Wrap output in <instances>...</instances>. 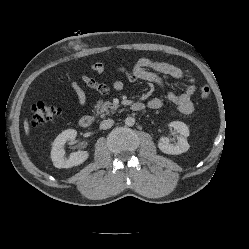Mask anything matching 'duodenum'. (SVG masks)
Returning <instances> with one entry per match:
<instances>
[{"label": "duodenum", "mask_w": 249, "mask_h": 249, "mask_svg": "<svg viewBox=\"0 0 249 249\" xmlns=\"http://www.w3.org/2000/svg\"><path fill=\"white\" fill-rule=\"evenodd\" d=\"M145 105L142 102H134L131 105L133 111H142ZM93 118L91 115H83L79 120V125L82 128H89L92 125Z\"/></svg>", "instance_id": "duodenum-1"}]
</instances>
